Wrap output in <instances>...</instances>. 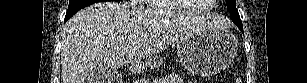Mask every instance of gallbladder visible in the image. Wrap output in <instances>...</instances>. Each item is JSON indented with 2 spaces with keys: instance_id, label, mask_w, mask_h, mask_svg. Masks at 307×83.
Returning <instances> with one entry per match:
<instances>
[{
  "instance_id": "bac80fb5",
  "label": "gallbladder",
  "mask_w": 307,
  "mask_h": 83,
  "mask_svg": "<svg viewBox=\"0 0 307 83\" xmlns=\"http://www.w3.org/2000/svg\"><path fill=\"white\" fill-rule=\"evenodd\" d=\"M121 73L118 70L96 67L88 71L85 83H119Z\"/></svg>"
}]
</instances>
